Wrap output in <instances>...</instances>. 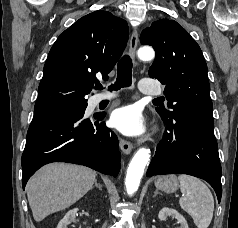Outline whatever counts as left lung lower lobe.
<instances>
[{"label":"left lung lower lobe","instance_id":"left-lung-lower-lobe-1","mask_svg":"<svg viewBox=\"0 0 238 228\" xmlns=\"http://www.w3.org/2000/svg\"><path fill=\"white\" fill-rule=\"evenodd\" d=\"M164 138L156 148L146 176L188 174L206 180L222 196L221 165L214 123L175 117L163 120Z\"/></svg>","mask_w":238,"mask_h":228}]
</instances>
